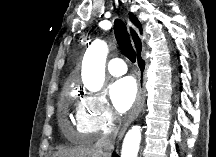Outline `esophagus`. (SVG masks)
<instances>
[{
	"label": "esophagus",
	"mask_w": 216,
	"mask_h": 157,
	"mask_svg": "<svg viewBox=\"0 0 216 157\" xmlns=\"http://www.w3.org/2000/svg\"><path fill=\"white\" fill-rule=\"evenodd\" d=\"M128 31L130 33L133 46H134V48L136 50L137 66L139 68V74H142V79H143V82H144L145 73H146V66L141 61V59H143L142 51H143L144 47L142 46L141 52L139 50H137L134 40H135V34L138 35V32H137L136 28L134 27V25L132 23H130V22H128ZM144 101H145V89H144L143 84L141 82H139L138 93H137V96H136V100H135V102H134V104H133V106L131 108V112H130V115H129L128 119L124 123V125H123V127H122V129H121V131L119 133V139L123 137V135L125 134L127 128L129 127V125L139 115V113H140V111H141V109L143 107Z\"/></svg>",
	"instance_id": "1"
}]
</instances>
